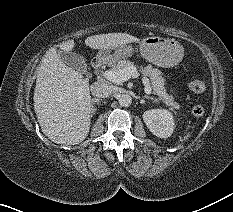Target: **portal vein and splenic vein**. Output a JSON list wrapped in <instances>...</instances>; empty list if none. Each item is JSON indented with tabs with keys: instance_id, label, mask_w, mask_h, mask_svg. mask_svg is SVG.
<instances>
[{
	"instance_id": "1",
	"label": "portal vein and splenic vein",
	"mask_w": 233,
	"mask_h": 212,
	"mask_svg": "<svg viewBox=\"0 0 233 212\" xmlns=\"http://www.w3.org/2000/svg\"><path fill=\"white\" fill-rule=\"evenodd\" d=\"M103 77L113 83L120 84L127 81L128 79L137 78L138 71L136 67H127L121 70H107L103 73ZM144 91L146 94H151V87L147 78H143Z\"/></svg>"
}]
</instances>
